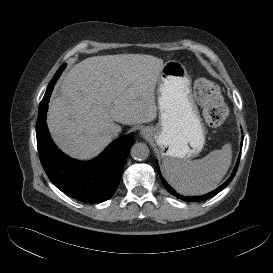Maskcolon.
<instances>
[{
    "mask_svg": "<svg viewBox=\"0 0 273 273\" xmlns=\"http://www.w3.org/2000/svg\"><path fill=\"white\" fill-rule=\"evenodd\" d=\"M194 93L198 102L203 107V117L206 124L211 128H218L227 119V109L221 101L218 86L204 78L194 83Z\"/></svg>",
    "mask_w": 273,
    "mask_h": 273,
    "instance_id": "5ec220e1",
    "label": "colon"
}]
</instances>
